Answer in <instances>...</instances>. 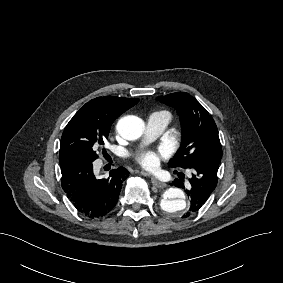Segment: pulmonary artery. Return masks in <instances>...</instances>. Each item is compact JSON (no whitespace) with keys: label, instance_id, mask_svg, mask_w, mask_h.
I'll return each mask as SVG.
<instances>
[{"label":"pulmonary artery","instance_id":"obj_1","mask_svg":"<svg viewBox=\"0 0 283 283\" xmlns=\"http://www.w3.org/2000/svg\"><path fill=\"white\" fill-rule=\"evenodd\" d=\"M170 117L164 113L154 112L147 118L146 136L150 139L158 137L166 128Z\"/></svg>","mask_w":283,"mask_h":283}]
</instances>
